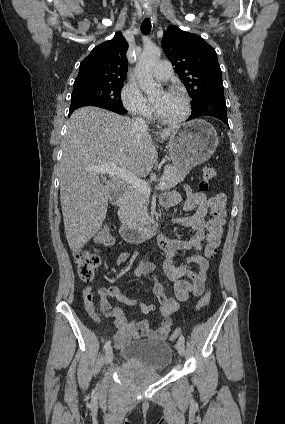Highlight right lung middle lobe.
<instances>
[{
	"label": "right lung middle lobe",
	"instance_id": "dd1d6c3e",
	"mask_svg": "<svg viewBox=\"0 0 285 424\" xmlns=\"http://www.w3.org/2000/svg\"><path fill=\"white\" fill-rule=\"evenodd\" d=\"M123 81L120 82H91L74 85L71 102L90 100L124 109L120 97Z\"/></svg>",
	"mask_w": 285,
	"mask_h": 424
}]
</instances>
